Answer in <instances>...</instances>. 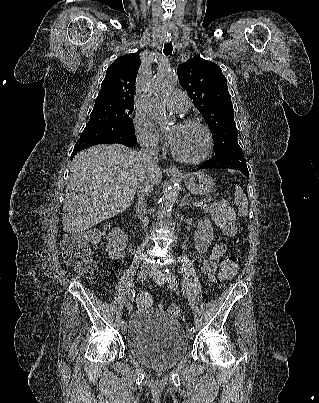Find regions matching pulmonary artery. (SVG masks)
<instances>
[{
  "label": "pulmonary artery",
  "instance_id": "pulmonary-artery-1",
  "mask_svg": "<svg viewBox=\"0 0 319 403\" xmlns=\"http://www.w3.org/2000/svg\"><path fill=\"white\" fill-rule=\"evenodd\" d=\"M166 102L171 109L177 112L186 111L190 106L189 97L179 89L172 91L167 96Z\"/></svg>",
  "mask_w": 319,
  "mask_h": 403
}]
</instances>
